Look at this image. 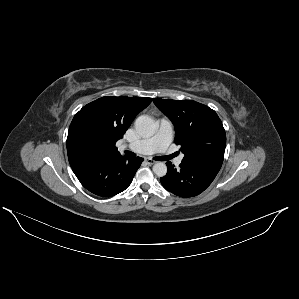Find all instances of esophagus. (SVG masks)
I'll return each mask as SVG.
<instances>
[{"mask_svg":"<svg viewBox=\"0 0 299 299\" xmlns=\"http://www.w3.org/2000/svg\"><path fill=\"white\" fill-rule=\"evenodd\" d=\"M145 162L148 164V165H153L156 163V161L152 160L151 158H145Z\"/></svg>","mask_w":299,"mask_h":299,"instance_id":"34e87169","label":"esophagus"}]
</instances>
